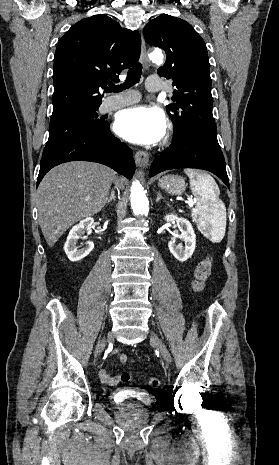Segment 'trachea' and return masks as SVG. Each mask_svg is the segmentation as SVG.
<instances>
[{"mask_svg": "<svg viewBox=\"0 0 279 465\" xmlns=\"http://www.w3.org/2000/svg\"><path fill=\"white\" fill-rule=\"evenodd\" d=\"M142 75V65L140 63L135 64L129 71L126 80L123 84L116 86L114 83L109 84V87L105 89L106 92H121L126 88H129L139 83Z\"/></svg>", "mask_w": 279, "mask_h": 465, "instance_id": "trachea-1", "label": "trachea"}]
</instances>
